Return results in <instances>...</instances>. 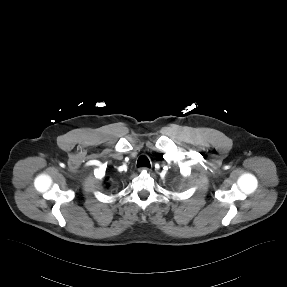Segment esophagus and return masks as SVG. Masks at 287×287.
Segmentation results:
<instances>
[{"label":"esophagus","instance_id":"esophagus-1","mask_svg":"<svg viewBox=\"0 0 287 287\" xmlns=\"http://www.w3.org/2000/svg\"><path fill=\"white\" fill-rule=\"evenodd\" d=\"M139 170H140V171H148V172H149V171H151V169H150V168L145 167V166H144V167L139 168Z\"/></svg>","mask_w":287,"mask_h":287}]
</instances>
